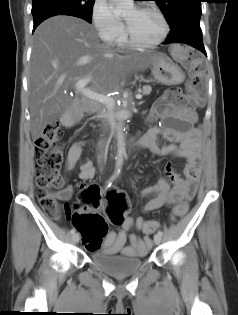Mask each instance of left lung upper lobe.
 <instances>
[{"label":"left lung upper lobe","mask_w":238,"mask_h":315,"mask_svg":"<svg viewBox=\"0 0 238 315\" xmlns=\"http://www.w3.org/2000/svg\"><path fill=\"white\" fill-rule=\"evenodd\" d=\"M167 17L170 33L192 19L201 17V0H154Z\"/></svg>","instance_id":"left-lung-upper-lobe-1"}]
</instances>
